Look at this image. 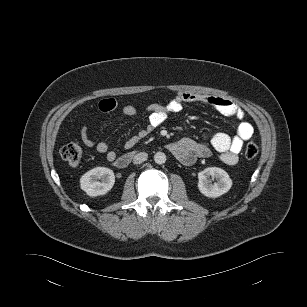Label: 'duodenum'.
<instances>
[{
	"instance_id": "obj_1",
	"label": "duodenum",
	"mask_w": 307,
	"mask_h": 307,
	"mask_svg": "<svg viewBox=\"0 0 307 307\" xmlns=\"http://www.w3.org/2000/svg\"><path fill=\"white\" fill-rule=\"evenodd\" d=\"M133 155H134L133 152H129V153H125V154L121 155L116 160L115 166L118 167V168H125V167H127L130 164Z\"/></svg>"
}]
</instances>
